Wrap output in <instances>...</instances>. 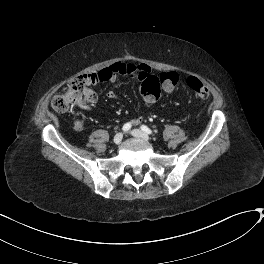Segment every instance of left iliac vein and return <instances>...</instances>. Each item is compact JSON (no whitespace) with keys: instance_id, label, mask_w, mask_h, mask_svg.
Segmentation results:
<instances>
[{"instance_id":"obj_1","label":"left iliac vein","mask_w":264,"mask_h":264,"mask_svg":"<svg viewBox=\"0 0 264 264\" xmlns=\"http://www.w3.org/2000/svg\"><path fill=\"white\" fill-rule=\"evenodd\" d=\"M131 134L136 137V138H141L145 141H149L150 137L143 131L139 130V129H134L131 131Z\"/></svg>"}]
</instances>
